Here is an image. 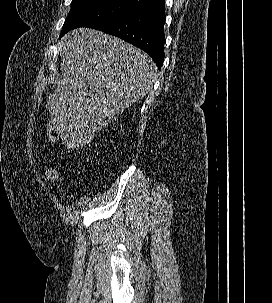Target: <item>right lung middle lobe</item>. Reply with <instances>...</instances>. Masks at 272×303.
Returning a JSON list of instances; mask_svg holds the SVG:
<instances>
[{
	"instance_id": "obj_1",
	"label": "right lung middle lobe",
	"mask_w": 272,
	"mask_h": 303,
	"mask_svg": "<svg viewBox=\"0 0 272 303\" xmlns=\"http://www.w3.org/2000/svg\"><path fill=\"white\" fill-rule=\"evenodd\" d=\"M139 9L126 0H72L60 37L69 30L93 25Z\"/></svg>"
}]
</instances>
